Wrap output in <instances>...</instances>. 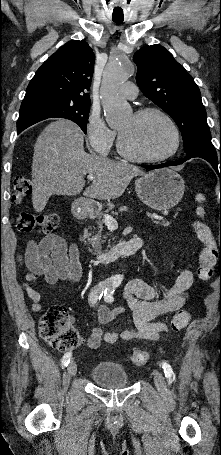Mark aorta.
I'll list each match as a JSON object with an SVG mask.
<instances>
[{
    "label": "aorta",
    "mask_w": 221,
    "mask_h": 455,
    "mask_svg": "<svg viewBox=\"0 0 221 455\" xmlns=\"http://www.w3.org/2000/svg\"><path fill=\"white\" fill-rule=\"evenodd\" d=\"M133 73L134 65L128 60H112L105 68L100 95L106 121L111 127L119 125L131 115V107L118 96V89ZM112 279H117V276Z\"/></svg>",
    "instance_id": "obj_1"
}]
</instances>
